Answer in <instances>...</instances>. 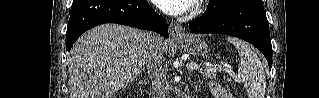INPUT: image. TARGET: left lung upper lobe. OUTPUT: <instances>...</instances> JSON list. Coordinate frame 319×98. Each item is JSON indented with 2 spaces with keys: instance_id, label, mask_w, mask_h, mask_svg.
<instances>
[{
  "instance_id": "1",
  "label": "left lung upper lobe",
  "mask_w": 319,
  "mask_h": 98,
  "mask_svg": "<svg viewBox=\"0 0 319 98\" xmlns=\"http://www.w3.org/2000/svg\"><path fill=\"white\" fill-rule=\"evenodd\" d=\"M236 0H209V5L207 7V14L210 16H215L219 14L228 4Z\"/></svg>"
}]
</instances>
